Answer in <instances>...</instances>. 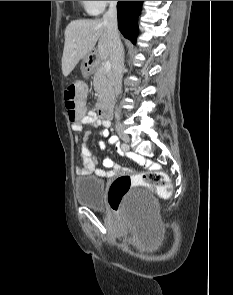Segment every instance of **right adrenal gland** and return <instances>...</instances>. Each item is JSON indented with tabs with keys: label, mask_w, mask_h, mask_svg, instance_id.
Here are the masks:
<instances>
[{
	"label": "right adrenal gland",
	"mask_w": 233,
	"mask_h": 295,
	"mask_svg": "<svg viewBox=\"0 0 233 295\" xmlns=\"http://www.w3.org/2000/svg\"><path fill=\"white\" fill-rule=\"evenodd\" d=\"M122 50H123V56H124V47H122Z\"/></svg>",
	"instance_id": "1"
}]
</instances>
